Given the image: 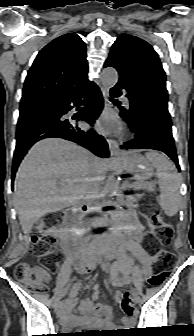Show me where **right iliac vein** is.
I'll return each instance as SVG.
<instances>
[{"label":"right iliac vein","instance_id":"obj_1","mask_svg":"<svg viewBox=\"0 0 194 336\" xmlns=\"http://www.w3.org/2000/svg\"><path fill=\"white\" fill-rule=\"evenodd\" d=\"M57 313L59 314V308H57Z\"/></svg>","mask_w":194,"mask_h":336}]
</instances>
